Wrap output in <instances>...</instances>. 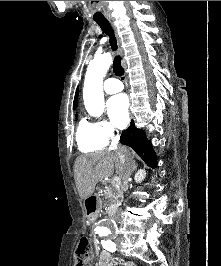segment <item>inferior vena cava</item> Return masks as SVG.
<instances>
[{
  "label": "inferior vena cava",
  "mask_w": 221,
  "mask_h": 266,
  "mask_svg": "<svg viewBox=\"0 0 221 266\" xmlns=\"http://www.w3.org/2000/svg\"><path fill=\"white\" fill-rule=\"evenodd\" d=\"M118 141H119V135L117 134V136L114 137V139L112 140L111 146H112V148L118 150L119 158L124 165L123 181L126 184L128 178L130 177V175L133 171L135 163H134L132 157L126 152V150L120 149L121 147H117ZM114 214H118V212H114L113 216H114Z\"/></svg>",
  "instance_id": "602c4592"
}]
</instances>
